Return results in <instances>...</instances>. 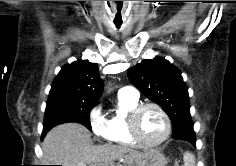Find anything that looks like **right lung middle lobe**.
Instances as JSON below:
<instances>
[{
	"label": "right lung middle lobe",
	"mask_w": 236,
	"mask_h": 166,
	"mask_svg": "<svg viewBox=\"0 0 236 166\" xmlns=\"http://www.w3.org/2000/svg\"><path fill=\"white\" fill-rule=\"evenodd\" d=\"M94 105V102L77 99L56 98L48 100L43 132L47 133L53 126L66 122L80 123L91 130L90 112Z\"/></svg>",
	"instance_id": "obj_1"
}]
</instances>
